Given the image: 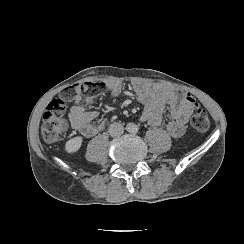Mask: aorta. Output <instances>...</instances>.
<instances>
[{
  "label": "aorta",
  "instance_id": "762f6f07",
  "mask_svg": "<svg viewBox=\"0 0 244 244\" xmlns=\"http://www.w3.org/2000/svg\"><path fill=\"white\" fill-rule=\"evenodd\" d=\"M127 131L130 132V133H134L137 131V126L133 123H129L127 125Z\"/></svg>",
  "mask_w": 244,
  "mask_h": 244
}]
</instances>
